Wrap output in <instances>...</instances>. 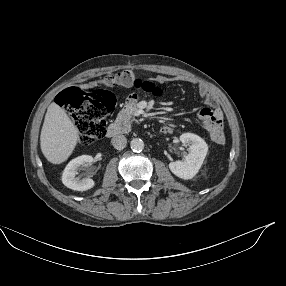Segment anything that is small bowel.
<instances>
[{
	"label": "small bowel",
	"instance_id": "c3829d8e",
	"mask_svg": "<svg viewBox=\"0 0 286 286\" xmlns=\"http://www.w3.org/2000/svg\"><path fill=\"white\" fill-rule=\"evenodd\" d=\"M109 84H116L120 86H138L140 84L139 80L135 78L134 74L130 71H122L110 77L106 81ZM157 82L163 83V78H158ZM199 96L204 100L207 107L203 108L199 114V117L203 123L205 129L207 126L214 121H219L223 123V113L219 107L215 105V99L208 88L204 86H199L198 88ZM137 97L135 94L130 93L127 95L126 100L123 105V111L120 113L119 118L123 122L130 120L133 114V108L136 104ZM172 127L165 125L162 127V132L170 133Z\"/></svg>",
	"mask_w": 286,
	"mask_h": 286
}]
</instances>
